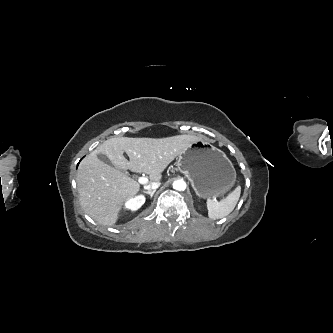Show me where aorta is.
<instances>
[{"mask_svg":"<svg viewBox=\"0 0 333 333\" xmlns=\"http://www.w3.org/2000/svg\"><path fill=\"white\" fill-rule=\"evenodd\" d=\"M173 188L178 191H184L186 189V183L184 180H177L173 183Z\"/></svg>","mask_w":333,"mask_h":333,"instance_id":"aorta-1","label":"aorta"}]
</instances>
